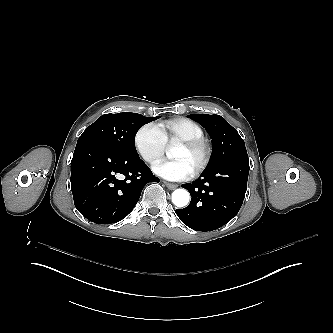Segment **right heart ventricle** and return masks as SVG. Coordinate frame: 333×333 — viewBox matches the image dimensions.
Masks as SVG:
<instances>
[{"label": "right heart ventricle", "mask_w": 333, "mask_h": 333, "mask_svg": "<svg viewBox=\"0 0 333 333\" xmlns=\"http://www.w3.org/2000/svg\"><path fill=\"white\" fill-rule=\"evenodd\" d=\"M159 129L166 141H187L202 139L204 137L203 130L197 123L182 117H177L160 124Z\"/></svg>", "instance_id": "1"}]
</instances>
